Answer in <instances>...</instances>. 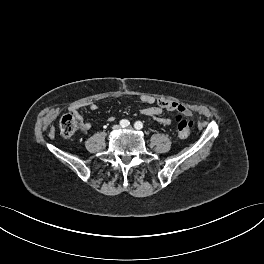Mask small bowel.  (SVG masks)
Returning a JSON list of instances; mask_svg holds the SVG:
<instances>
[{
    "mask_svg": "<svg viewBox=\"0 0 264 264\" xmlns=\"http://www.w3.org/2000/svg\"><path fill=\"white\" fill-rule=\"evenodd\" d=\"M142 101L144 103H147L151 106H147L141 109V114L152 117L158 122H160L163 125H169L171 123V120L169 118L162 117L161 114L164 109L168 111H173V110H180L184 112L185 115L189 116L191 115V112L183 107L182 105L174 102V101H169V100H163L158 102L156 106H152V104L155 102V99L152 97H142ZM92 111L97 110L98 106L95 103H90L87 105ZM78 120L80 121L81 124V129L83 132H87L91 129V123L84 121L82 115L79 113H76ZM112 118H110L111 120Z\"/></svg>",
    "mask_w": 264,
    "mask_h": 264,
    "instance_id": "small-bowel-1",
    "label": "small bowel"
}]
</instances>
